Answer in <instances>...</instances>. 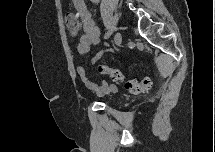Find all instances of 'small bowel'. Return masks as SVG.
Segmentation results:
<instances>
[{
  "mask_svg": "<svg viewBox=\"0 0 215 152\" xmlns=\"http://www.w3.org/2000/svg\"><path fill=\"white\" fill-rule=\"evenodd\" d=\"M95 2L97 1L95 0ZM73 5L83 27V34L79 38L77 51L80 55H85L90 51L91 46L100 42V30L92 19L84 0H73ZM101 56V54L95 55L92 59L93 62L98 61ZM77 74L84 85L97 95H108L117 91L118 87L116 84L102 82L100 85H97L93 83L87 77L86 70L82 66L77 67Z\"/></svg>",
  "mask_w": 215,
  "mask_h": 152,
  "instance_id": "small-bowel-1",
  "label": "small bowel"
}]
</instances>
